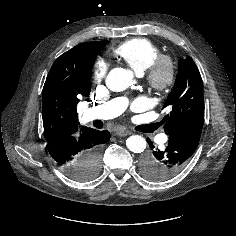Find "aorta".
<instances>
[{"mask_svg":"<svg viewBox=\"0 0 236 236\" xmlns=\"http://www.w3.org/2000/svg\"><path fill=\"white\" fill-rule=\"evenodd\" d=\"M132 83V71L124 68H114L106 77L107 87L114 92L124 91ZM146 144L145 138L140 135H132L126 140L127 148L133 153H142L146 149Z\"/></svg>","mask_w":236,"mask_h":236,"instance_id":"obj_1","label":"aorta"}]
</instances>
